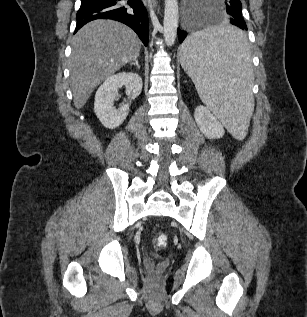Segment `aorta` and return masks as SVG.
<instances>
[{
  "mask_svg": "<svg viewBox=\"0 0 307 317\" xmlns=\"http://www.w3.org/2000/svg\"><path fill=\"white\" fill-rule=\"evenodd\" d=\"M178 0H165L164 10V40L167 46H172L176 40L178 28Z\"/></svg>",
  "mask_w": 307,
  "mask_h": 317,
  "instance_id": "obj_1",
  "label": "aorta"
}]
</instances>
